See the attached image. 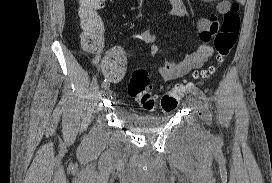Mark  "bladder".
Listing matches in <instances>:
<instances>
[{
  "label": "bladder",
  "mask_w": 272,
  "mask_h": 183,
  "mask_svg": "<svg viewBox=\"0 0 272 183\" xmlns=\"http://www.w3.org/2000/svg\"><path fill=\"white\" fill-rule=\"evenodd\" d=\"M121 120L127 126L143 131H153L164 128L171 119V114L163 115H141L134 112H123Z\"/></svg>",
  "instance_id": "1"
}]
</instances>
